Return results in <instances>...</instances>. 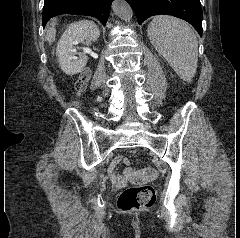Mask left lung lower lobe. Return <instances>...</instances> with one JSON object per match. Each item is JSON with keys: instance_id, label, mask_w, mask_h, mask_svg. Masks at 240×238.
I'll list each match as a JSON object with an SVG mask.
<instances>
[{"instance_id": "left-lung-lower-lobe-1", "label": "left lung lower lobe", "mask_w": 240, "mask_h": 238, "mask_svg": "<svg viewBox=\"0 0 240 238\" xmlns=\"http://www.w3.org/2000/svg\"><path fill=\"white\" fill-rule=\"evenodd\" d=\"M137 21L142 24L150 16L165 14L189 22L202 36V8L200 0H126Z\"/></svg>"}]
</instances>
